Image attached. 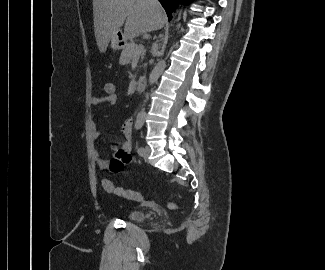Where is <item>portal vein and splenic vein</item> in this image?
<instances>
[{
    "label": "portal vein and splenic vein",
    "instance_id": "18ae733b",
    "mask_svg": "<svg viewBox=\"0 0 325 270\" xmlns=\"http://www.w3.org/2000/svg\"><path fill=\"white\" fill-rule=\"evenodd\" d=\"M139 50L143 51L144 50V46L143 45H139Z\"/></svg>",
    "mask_w": 325,
    "mask_h": 270
}]
</instances>
